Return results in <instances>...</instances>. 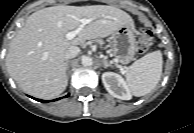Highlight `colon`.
<instances>
[{
    "label": "colon",
    "mask_w": 194,
    "mask_h": 133,
    "mask_svg": "<svg viewBox=\"0 0 194 133\" xmlns=\"http://www.w3.org/2000/svg\"><path fill=\"white\" fill-rule=\"evenodd\" d=\"M153 44V33L147 29H141V37L138 41L137 47L140 53H146Z\"/></svg>",
    "instance_id": "1"
}]
</instances>
